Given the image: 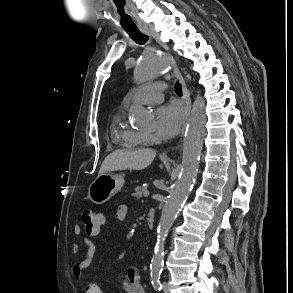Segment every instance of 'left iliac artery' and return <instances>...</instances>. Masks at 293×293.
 Wrapping results in <instances>:
<instances>
[{
    "instance_id": "1",
    "label": "left iliac artery",
    "mask_w": 293,
    "mask_h": 293,
    "mask_svg": "<svg viewBox=\"0 0 293 293\" xmlns=\"http://www.w3.org/2000/svg\"><path fill=\"white\" fill-rule=\"evenodd\" d=\"M162 269H152L151 270V283L155 290L161 291L162 284L160 282V275H161Z\"/></svg>"
}]
</instances>
